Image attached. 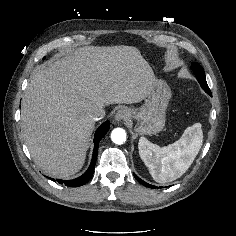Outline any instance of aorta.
I'll return each instance as SVG.
<instances>
[{
	"label": "aorta",
	"instance_id": "762f6f07",
	"mask_svg": "<svg viewBox=\"0 0 236 236\" xmlns=\"http://www.w3.org/2000/svg\"><path fill=\"white\" fill-rule=\"evenodd\" d=\"M111 140L115 144H123L126 141V132L122 128H116L111 133Z\"/></svg>",
	"mask_w": 236,
	"mask_h": 236
}]
</instances>
